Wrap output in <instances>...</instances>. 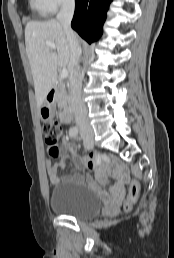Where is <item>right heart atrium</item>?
Returning a JSON list of instances; mask_svg holds the SVG:
<instances>
[{"label":"right heart atrium","instance_id":"obj_1","mask_svg":"<svg viewBox=\"0 0 174 258\" xmlns=\"http://www.w3.org/2000/svg\"><path fill=\"white\" fill-rule=\"evenodd\" d=\"M47 13L53 14L60 8L70 5L74 0H41Z\"/></svg>","mask_w":174,"mask_h":258}]
</instances>
